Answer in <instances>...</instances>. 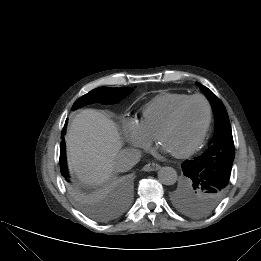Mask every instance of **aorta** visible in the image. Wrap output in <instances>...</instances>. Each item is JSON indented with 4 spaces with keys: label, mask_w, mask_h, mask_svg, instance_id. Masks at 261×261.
<instances>
[{
    "label": "aorta",
    "mask_w": 261,
    "mask_h": 261,
    "mask_svg": "<svg viewBox=\"0 0 261 261\" xmlns=\"http://www.w3.org/2000/svg\"><path fill=\"white\" fill-rule=\"evenodd\" d=\"M177 172L172 167H162L158 171V179L164 185H173L177 181Z\"/></svg>",
    "instance_id": "762f6f07"
}]
</instances>
